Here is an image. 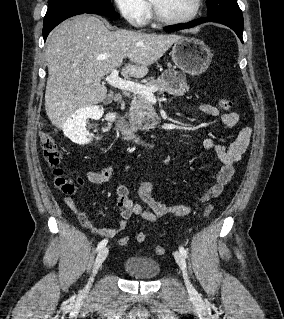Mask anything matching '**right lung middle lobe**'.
<instances>
[{
  "mask_svg": "<svg viewBox=\"0 0 284 319\" xmlns=\"http://www.w3.org/2000/svg\"><path fill=\"white\" fill-rule=\"evenodd\" d=\"M110 0H48V9L44 22H48L55 17L72 11L112 9Z\"/></svg>",
  "mask_w": 284,
  "mask_h": 319,
  "instance_id": "dd1d6c3e",
  "label": "right lung middle lobe"
}]
</instances>
